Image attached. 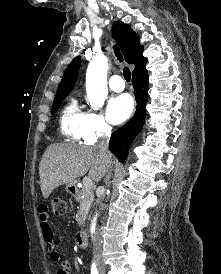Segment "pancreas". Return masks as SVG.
Wrapping results in <instances>:
<instances>
[{
  "label": "pancreas",
  "instance_id": "pancreas-1",
  "mask_svg": "<svg viewBox=\"0 0 221 274\" xmlns=\"http://www.w3.org/2000/svg\"><path fill=\"white\" fill-rule=\"evenodd\" d=\"M84 196V198H81ZM94 200L93 190L83 187L81 192L78 194L77 201L80 202L79 209L77 211L76 217L79 226H83L85 223V219L88 215L91 204Z\"/></svg>",
  "mask_w": 221,
  "mask_h": 274
}]
</instances>
